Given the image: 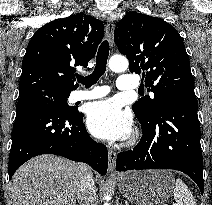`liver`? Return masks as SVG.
Segmentation results:
<instances>
[{
	"mask_svg": "<svg viewBox=\"0 0 212 205\" xmlns=\"http://www.w3.org/2000/svg\"><path fill=\"white\" fill-rule=\"evenodd\" d=\"M77 164L41 155L23 164L11 180L13 205H76Z\"/></svg>",
	"mask_w": 212,
	"mask_h": 205,
	"instance_id": "obj_1",
	"label": "liver"
}]
</instances>
